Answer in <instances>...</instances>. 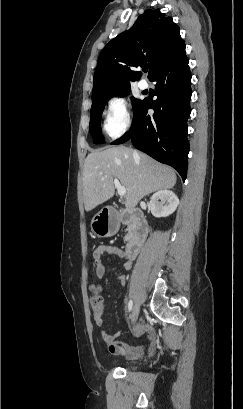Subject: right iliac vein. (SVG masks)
Wrapping results in <instances>:
<instances>
[{
  "label": "right iliac vein",
  "instance_id": "63e3f726",
  "mask_svg": "<svg viewBox=\"0 0 243 409\" xmlns=\"http://www.w3.org/2000/svg\"><path fill=\"white\" fill-rule=\"evenodd\" d=\"M139 311H140V306H139L138 303H136V304L133 306L132 314H131V322H132V324H134V323L137 321V318H138V315H139Z\"/></svg>",
  "mask_w": 243,
  "mask_h": 409
}]
</instances>
